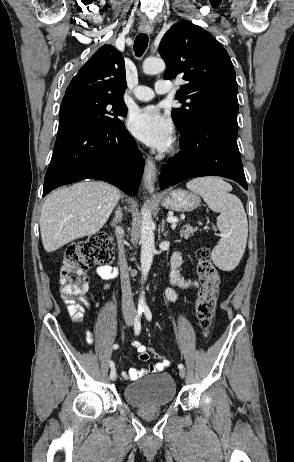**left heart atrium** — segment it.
I'll return each instance as SVG.
<instances>
[{
    "mask_svg": "<svg viewBox=\"0 0 294 462\" xmlns=\"http://www.w3.org/2000/svg\"><path fill=\"white\" fill-rule=\"evenodd\" d=\"M130 131L148 146L164 151L173 142V124L155 106L134 111L128 120Z\"/></svg>",
    "mask_w": 294,
    "mask_h": 462,
    "instance_id": "1",
    "label": "left heart atrium"
}]
</instances>
